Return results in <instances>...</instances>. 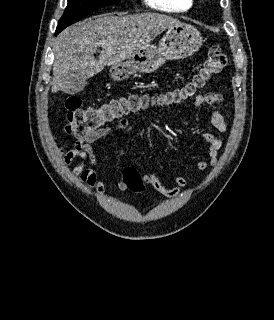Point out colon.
<instances>
[{
  "label": "colon",
  "mask_w": 274,
  "mask_h": 320,
  "mask_svg": "<svg viewBox=\"0 0 274 320\" xmlns=\"http://www.w3.org/2000/svg\"><path fill=\"white\" fill-rule=\"evenodd\" d=\"M227 65V57L219 46H212L208 49L204 65L195 79L182 87L174 94L165 98L167 103H177L194 92L202 89L212 82ZM144 105V101L138 97L121 98L98 107L82 108V101L79 97H68L65 101L67 110L66 134H91L100 133L101 127H109L116 122L123 120L128 115ZM102 121H107V126H102ZM123 182L133 191L142 192L144 183L135 168L128 167L123 172Z\"/></svg>",
  "instance_id": "obj_1"
}]
</instances>
